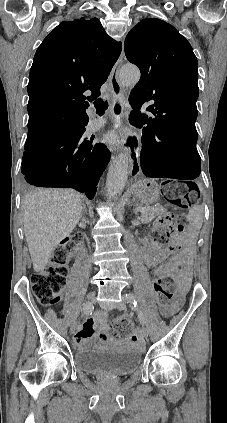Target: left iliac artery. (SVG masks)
Wrapping results in <instances>:
<instances>
[{
	"label": "left iliac artery",
	"mask_w": 227,
	"mask_h": 423,
	"mask_svg": "<svg viewBox=\"0 0 227 423\" xmlns=\"http://www.w3.org/2000/svg\"><path fill=\"white\" fill-rule=\"evenodd\" d=\"M125 300L127 302H131L134 305V308H136L140 323L145 324V318H144V315L142 314L141 310L138 308V301H137L136 296L133 293L126 294Z\"/></svg>",
	"instance_id": "1"
}]
</instances>
